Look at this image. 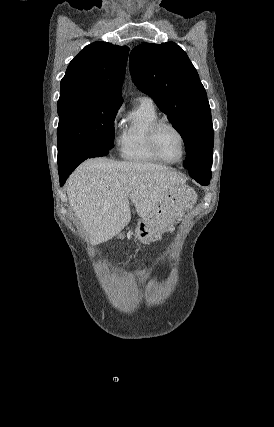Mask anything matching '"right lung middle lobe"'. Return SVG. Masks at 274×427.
<instances>
[{"label": "right lung middle lobe", "instance_id": "1", "mask_svg": "<svg viewBox=\"0 0 274 427\" xmlns=\"http://www.w3.org/2000/svg\"><path fill=\"white\" fill-rule=\"evenodd\" d=\"M122 100H87L58 107V167L114 147V119Z\"/></svg>", "mask_w": 274, "mask_h": 427}]
</instances>
